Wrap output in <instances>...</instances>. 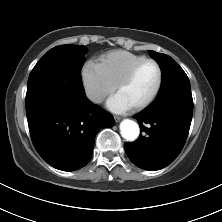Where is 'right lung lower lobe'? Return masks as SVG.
Here are the masks:
<instances>
[{
  "label": "right lung lower lobe",
  "instance_id": "1",
  "mask_svg": "<svg viewBox=\"0 0 222 222\" xmlns=\"http://www.w3.org/2000/svg\"><path fill=\"white\" fill-rule=\"evenodd\" d=\"M32 142L52 167L74 171L91 159L95 135L114 125L113 116L86 97L73 106L39 104L26 108Z\"/></svg>",
  "mask_w": 222,
  "mask_h": 222
}]
</instances>
